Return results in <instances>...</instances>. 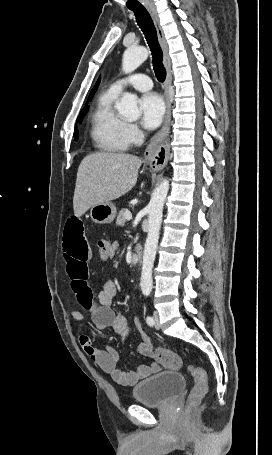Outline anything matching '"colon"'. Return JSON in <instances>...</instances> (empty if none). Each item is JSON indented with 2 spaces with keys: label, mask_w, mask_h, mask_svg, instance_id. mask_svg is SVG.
<instances>
[{
  "label": "colon",
  "mask_w": 272,
  "mask_h": 455,
  "mask_svg": "<svg viewBox=\"0 0 272 455\" xmlns=\"http://www.w3.org/2000/svg\"><path fill=\"white\" fill-rule=\"evenodd\" d=\"M100 260L105 263L110 258V242L106 238H101L97 242ZM157 360L166 368L171 370H178L182 366L180 356L166 348H159L156 351ZM188 371L193 377L195 384L191 390L188 400V410L191 411L206 395L207 373L204 369L198 366H188Z\"/></svg>",
  "instance_id": "5ec220e1"
}]
</instances>
